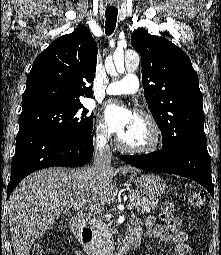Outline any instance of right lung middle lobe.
<instances>
[{
    "label": "right lung middle lobe",
    "mask_w": 221,
    "mask_h": 255,
    "mask_svg": "<svg viewBox=\"0 0 221 255\" xmlns=\"http://www.w3.org/2000/svg\"><path fill=\"white\" fill-rule=\"evenodd\" d=\"M81 102L45 104L22 110L20 128L39 129L69 138H88L92 133L93 115Z\"/></svg>",
    "instance_id": "dd1d6c3e"
}]
</instances>
